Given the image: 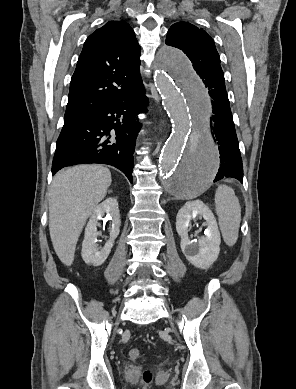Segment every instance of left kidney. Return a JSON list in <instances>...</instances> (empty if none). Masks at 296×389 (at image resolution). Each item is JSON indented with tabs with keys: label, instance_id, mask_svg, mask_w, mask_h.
Segmentation results:
<instances>
[{
	"label": "left kidney",
	"instance_id": "5707ae66",
	"mask_svg": "<svg viewBox=\"0 0 296 389\" xmlns=\"http://www.w3.org/2000/svg\"><path fill=\"white\" fill-rule=\"evenodd\" d=\"M200 216L205 219V236L190 240L188 227L190 220ZM176 230L181 237V250L186 259L195 267L208 269L218 258L220 252V233L211 210L200 200L187 202L176 217Z\"/></svg>",
	"mask_w": 296,
	"mask_h": 389
}]
</instances>
